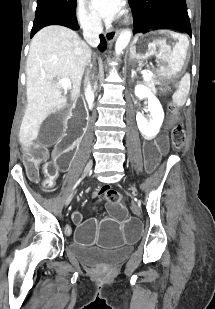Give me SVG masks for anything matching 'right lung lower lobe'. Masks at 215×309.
Instances as JSON below:
<instances>
[{"label":"right lung lower lobe","mask_w":215,"mask_h":309,"mask_svg":"<svg viewBox=\"0 0 215 309\" xmlns=\"http://www.w3.org/2000/svg\"><path fill=\"white\" fill-rule=\"evenodd\" d=\"M53 24L63 25V26L69 27L71 29H78L79 28L76 20L73 23H70V22H67L63 19L50 20V21L46 22L45 24H43V27H45L47 25H53ZM100 39H101V42H100L99 48H100L101 51H104L106 49L107 43H106L105 38L102 35L100 36Z\"/></svg>","instance_id":"obj_1"}]
</instances>
